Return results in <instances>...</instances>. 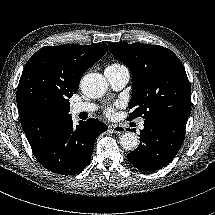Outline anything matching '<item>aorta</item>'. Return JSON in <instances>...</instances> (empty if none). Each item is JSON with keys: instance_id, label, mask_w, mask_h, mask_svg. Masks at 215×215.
<instances>
[{"instance_id": "762f6f07", "label": "aorta", "mask_w": 215, "mask_h": 215, "mask_svg": "<svg viewBox=\"0 0 215 215\" xmlns=\"http://www.w3.org/2000/svg\"><path fill=\"white\" fill-rule=\"evenodd\" d=\"M80 87L85 96L98 98L106 92L107 81L101 74L90 73L82 78ZM119 144L123 150L133 151L138 147L139 141L135 133L125 132L120 136Z\"/></svg>"}]
</instances>
